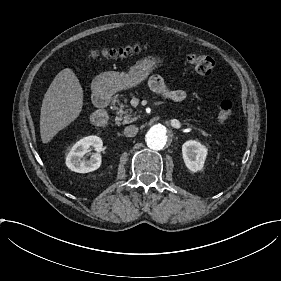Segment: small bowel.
I'll return each instance as SVG.
<instances>
[{
	"label": "small bowel",
	"instance_id": "obj_1",
	"mask_svg": "<svg viewBox=\"0 0 281 281\" xmlns=\"http://www.w3.org/2000/svg\"><path fill=\"white\" fill-rule=\"evenodd\" d=\"M149 87L157 94L173 102H183L187 98L186 91L171 89L159 75H152L148 79Z\"/></svg>",
	"mask_w": 281,
	"mask_h": 281
}]
</instances>
